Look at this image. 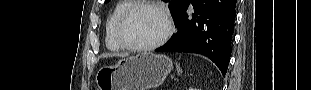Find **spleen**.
I'll use <instances>...</instances> for the list:
<instances>
[{"label": "spleen", "instance_id": "spleen-1", "mask_svg": "<svg viewBox=\"0 0 311 90\" xmlns=\"http://www.w3.org/2000/svg\"><path fill=\"white\" fill-rule=\"evenodd\" d=\"M176 68H177L178 74H180L182 72V70L180 69V66L178 64H176Z\"/></svg>", "mask_w": 311, "mask_h": 90}]
</instances>
